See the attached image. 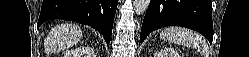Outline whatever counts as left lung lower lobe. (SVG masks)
<instances>
[{
    "label": "left lung lower lobe",
    "instance_id": "1",
    "mask_svg": "<svg viewBox=\"0 0 249 57\" xmlns=\"http://www.w3.org/2000/svg\"><path fill=\"white\" fill-rule=\"evenodd\" d=\"M173 25L195 30L212 43L211 0H151L141 28V43L152 31Z\"/></svg>",
    "mask_w": 249,
    "mask_h": 57
}]
</instances>
